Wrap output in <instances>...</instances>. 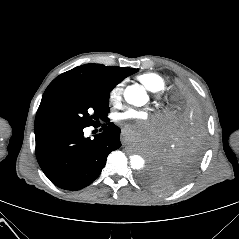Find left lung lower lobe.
Listing matches in <instances>:
<instances>
[{
	"label": "left lung lower lobe",
	"mask_w": 239,
	"mask_h": 239,
	"mask_svg": "<svg viewBox=\"0 0 239 239\" xmlns=\"http://www.w3.org/2000/svg\"><path fill=\"white\" fill-rule=\"evenodd\" d=\"M177 119L178 126L166 132L151 163L171 179L175 188L190 178L203 152L205 122L201 103L196 99L185 101Z\"/></svg>",
	"instance_id": "1"
}]
</instances>
